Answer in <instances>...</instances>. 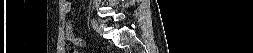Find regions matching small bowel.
<instances>
[{
    "mask_svg": "<svg viewBox=\"0 0 253 53\" xmlns=\"http://www.w3.org/2000/svg\"><path fill=\"white\" fill-rule=\"evenodd\" d=\"M65 30H66V39L67 41H69L70 43L74 44V45H80L82 44V40H80L75 33L73 32V26L70 23H66L65 24Z\"/></svg>",
    "mask_w": 253,
    "mask_h": 53,
    "instance_id": "small-bowel-1",
    "label": "small bowel"
}]
</instances>
